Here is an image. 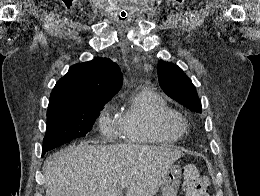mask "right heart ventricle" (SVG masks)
Returning <instances> with one entry per match:
<instances>
[{"instance_id": "right-heart-ventricle-1", "label": "right heart ventricle", "mask_w": 260, "mask_h": 196, "mask_svg": "<svg viewBox=\"0 0 260 196\" xmlns=\"http://www.w3.org/2000/svg\"><path fill=\"white\" fill-rule=\"evenodd\" d=\"M157 110L155 113L154 110ZM175 111L156 92L144 85H136L120 113V126L136 133L133 141L150 145H166L178 141L182 132L166 123ZM117 192V190H90Z\"/></svg>"}]
</instances>
